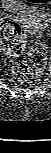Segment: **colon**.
Wrapping results in <instances>:
<instances>
[{
  "mask_svg": "<svg viewBox=\"0 0 51 153\" xmlns=\"http://www.w3.org/2000/svg\"><path fill=\"white\" fill-rule=\"evenodd\" d=\"M34 5L47 4L50 0H25ZM1 50L12 58L21 57L27 46V37L23 27L13 20H5L1 24ZM30 64L17 61L11 74L20 83L30 82L40 76L47 61V48L40 36H37L29 51Z\"/></svg>",
  "mask_w": 51,
  "mask_h": 153,
  "instance_id": "obj_1",
  "label": "colon"
}]
</instances>
